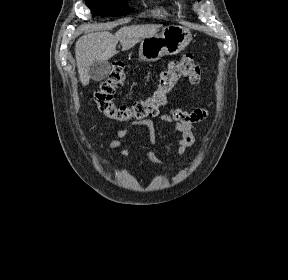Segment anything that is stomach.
Returning a JSON list of instances; mask_svg holds the SVG:
<instances>
[{"label": "stomach", "mask_w": 288, "mask_h": 280, "mask_svg": "<svg viewBox=\"0 0 288 280\" xmlns=\"http://www.w3.org/2000/svg\"><path fill=\"white\" fill-rule=\"evenodd\" d=\"M192 40L189 29L171 25L165 27L160 34L141 40L139 58L154 62L165 55H175L181 52Z\"/></svg>", "instance_id": "obj_1"}]
</instances>
